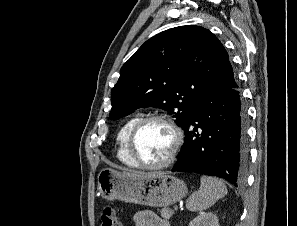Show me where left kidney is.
<instances>
[{
  "label": "left kidney",
  "mask_w": 297,
  "mask_h": 226,
  "mask_svg": "<svg viewBox=\"0 0 297 226\" xmlns=\"http://www.w3.org/2000/svg\"><path fill=\"white\" fill-rule=\"evenodd\" d=\"M188 226H219L217 216L212 212L201 213Z\"/></svg>",
  "instance_id": "1"
}]
</instances>
